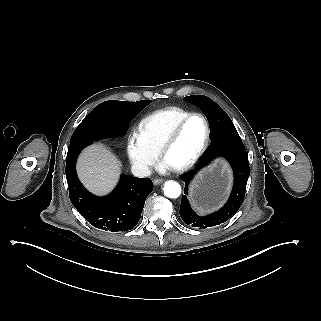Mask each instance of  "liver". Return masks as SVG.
I'll return each mask as SVG.
<instances>
[{
	"instance_id": "6515ba94",
	"label": "liver",
	"mask_w": 321,
	"mask_h": 321,
	"mask_svg": "<svg viewBox=\"0 0 321 321\" xmlns=\"http://www.w3.org/2000/svg\"><path fill=\"white\" fill-rule=\"evenodd\" d=\"M78 172L88 188L101 193L109 190L115 183L118 162L106 148L93 146L80 157Z\"/></svg>"
}]
</instances>
